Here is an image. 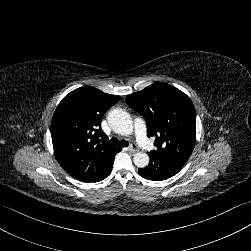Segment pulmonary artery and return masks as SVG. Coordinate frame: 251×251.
Listing matches in <instances>:
<instances>
[{
	"instance_id": "e3ab8cb5",
	"label": "pulmonary artery",
	"mask_w": 251,
	"mask_h": 251,
	"mask_svg": "<svg viewBox=\"0 0 251 251\" xmlns=\"http://www.w3.org/2000/svg\"><path fill=\"white\" fill-rule=\"evenodd\" d=\"M142 119H137L133 124V129L135 131V138L138 141V145L145 151H151L153 146L147 140L149 138L148 134L145 132V126Z\"/></svg>"
}]
</instances>
